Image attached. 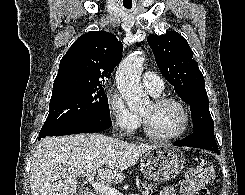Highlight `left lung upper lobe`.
Instances as JSON below:
<instances>
[{"label": "left lung upper lobe", "mask_w": 245, "mask_h": 195, "mask_svg": "<svg viewBox=\"0 0 245 195\" xmlns=\"http://www.w3.org/2000/svg\"><path fill=\"white\" fill-rule=\"evenodd\" d=\"M147 41L162 75L174 86L179 97L190 105L194 132L215 138L204 77L198 63L192 59L193 52L188 42L175 31L160 36L150 34Z\"/></svg>", "instance_id": "obj_1"}]
</instances>
